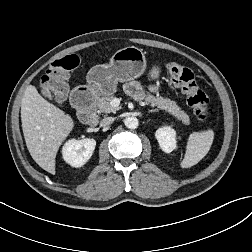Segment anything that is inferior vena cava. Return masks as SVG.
I'll return each mask as SVG.
<instances>
[{
  "instance_id": "1",
  "label": "inferior vena cava",
  "mask_w": 252,
  "mask_h": 252,
  "mask_svg": "<svg viewBox=\"0 0 252 252\" xmlns=\"http://www.w3.org/2000/svg\"><path fill=\"white\" fill-rule=\"evenodd\" d=\"M114 118L113 117H105L101 120L100 122V126L101 127H106V126H109L111 125L113 122H114Z\"/></svg>"
}]
</instances>
